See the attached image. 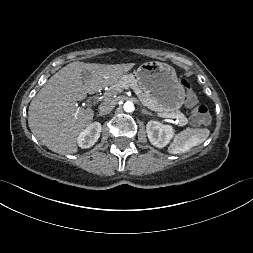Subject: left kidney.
I'll return each instance as SVG.
<instances>
[{
    "label": "left kidney",
    "mask_w": 253,
    "mask_h": 253,
    "mask_svg": "<svg viewBox=\"0 0 253 253\" xmlns=\"http://www.w3.org/2000/svg\"><path fill=\"white\" fill-rule=\"evenodd\" d=\"M146 132L152 145L163 148L173 137L174 129L169 125H163L160 122L151 120L147 123Z\"/></svg>",
    "instance_id": "left-kidney-1"
}]
</instances>
